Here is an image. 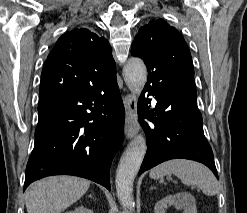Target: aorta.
<instances>
[{
  "instance_id": "aorta-1",
  "label": "aorta",
  "mask_w": 247,
  "mask_h": 213,
  "mask_svg": "<svg viewBox=\"0 0 247 213\" xmlns=\"http://www.w3.org/2000/svg\"><path fill=\"white\" fill-rule=\"evenodd\" d=\"M125 83L134 96L139 97L147 80V68L144 62L132 57L123 71ZM146 140L144 135H137L124 151L116 172V191L121 205L132 210L133 182L146 153Z\"/></svg>"
}]
</instances>
